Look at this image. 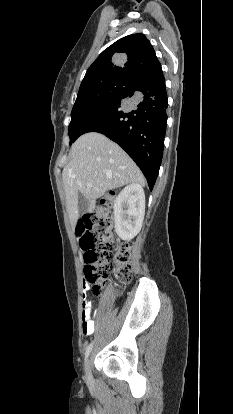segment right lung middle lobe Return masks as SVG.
Here are the masks:
<instances>
[{"mask_svg": "<svg viewBox=\"0 0 233 414\" xmlns=\"http://www.w3.org/2000/svg\"><path fill=\"white\" fill-rule=\"evenodd\" d=\"M132 82L121 78H102L80 87L69 124L70 145L79 137L82 123L94 112L121 97Z\"/></svg>", "mask_w": 233, "mask_h": 414, "instance_id": "obj_1", "label": "right lung middle lobe"}]
</instances>
